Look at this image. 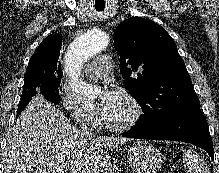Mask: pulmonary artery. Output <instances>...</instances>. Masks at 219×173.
Here are the masks:
<instances>
[{
	"mask_svg": "<svg viewBox=\"0 0 219 173\" xmlns=\"http://www.w3.org/2000/svg\"><path fill=\"white\" fill-rule=\"evenodd\" d=\"M112 61L108 55L95 57L86 68V75L92 79L104 77L111 69Z\"/></svg>",
	"mask_w": 219,
	"mask_h": 173,
	"instance_id": "1",
	"label": "pulmonary artery"
}]
</instances>
